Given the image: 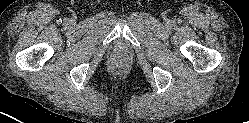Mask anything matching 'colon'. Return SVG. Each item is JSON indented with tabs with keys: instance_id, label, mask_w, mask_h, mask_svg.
Segmentation results:
<instances>
[{
	"instance_id": "5ec220e1",
	"label": "colon",
	"mask_w": 249,
	"mask_h": 123,
	"mask_svg": "<svg viewBox=\"0 0 249 123\" xmlns=\"http://www.w3.org/2000/svg\"><path fill=\"white\" fill-rule=\"evenodd\" d=\"M123 58H124V55H123V54H118V55L116 56V61H122Z\"/></svg>"
}]
</instances>
